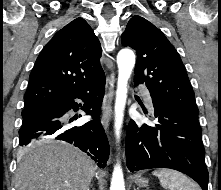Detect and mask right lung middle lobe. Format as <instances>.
<instances>
[{
    "label": "right lung middle lobe",
    "mask_w": 221,
    "mask_h": 190,
    "mask_svg": "<svg viewBox=\"0 0 221 190\" xmlns=\"http://www.w3.org/2000/svg\"><path fill=\"white\" fill-rule=\"evenodd\" d=\"M41 108H42V107H41ZM41 108H36V109H24V110L22 111V117L24 118V117H26V116H28V115H30V114L36 112L37 110H39V109H41Z\"/></svg>",
    "instance_id": "dd1d6c3e"
}]
</instances>
